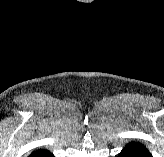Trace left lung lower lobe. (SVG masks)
<instances>
[{
  "label": "left lung lower lobe",
  "mask_w": 164,
  "mask_h": 157,
  "mask_svg": "<svg viewBox=\"0 0 164 157\" xmlns=\"http://www.w3.org/2000/svg\"><path fill=\"white\" fill-rule=\"evenodd\" d=\"M118 157H152L146 147L139 142H130L118 154Z\"/></svg>",
  "instance_id": "left-lung-lower-lobe-1"
}]
</instances>
